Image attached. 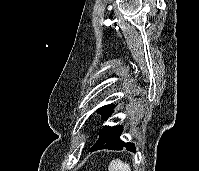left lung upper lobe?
<instances>
[{"label":"left lung upper lobe","mask_w":199,"mask_h":171,"mask_svg":"<svg viewBox=\"0 0 199 171\" xmlns=\"http://www.w3.org/2000/svg\"><path fill=\"white\" fill-rule=\"evenodd\" d=\"M114 107L115 105L113 104L105 105L97 109L96 112L98 114H101L104 120H107L111 116Z\"/></svg>","instance_id":"1"}]
</instances>
